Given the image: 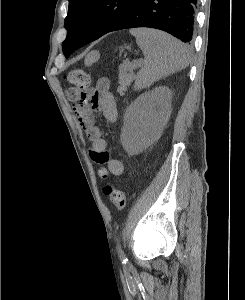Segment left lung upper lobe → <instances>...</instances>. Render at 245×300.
I'll return each instance as SVG.
<instances>
[{
    "label": "left lung upper lobe",
    "mask_w": 245,
    "mask_h": 300,
    "mask_svg": "<svg viewBox=\"0 0 245 300\" xmlns=\"http://www.w3.org/2000/svg\"><path fill=\"white\" fill-rule=\"evenodd\" d=\"M136 0H69L65 18L67 37L62 44L69 56L96 36L104 35Z\"/></svg>",
    "instance_id": "1"
}]
</instances>
